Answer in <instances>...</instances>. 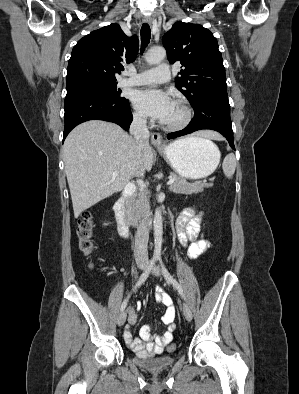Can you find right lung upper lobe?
I'll use <instances>...</instances> for the list:
<instances>
[{"label":"right lung upper lobe","mask_w":299,"mask_h":394,"mask_svg":"<svg viewBox=\"0 0 299 394\" xmlns=\"http://www.w3.org/2000/svg\"><path fill=\"white\" fill-rule=\"evenodd\" d=\"M136 36L128 37L118 24L91 32L74 46L67 68V88L88 83L116 82L115 73L134 61Z\"/></svg>","instance_id":"obj_1"}]
</instances>
